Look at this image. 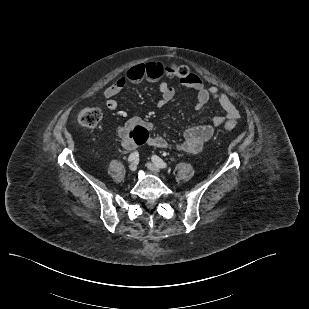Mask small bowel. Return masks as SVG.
<instances>
[{
	"label": "small bowel",
	"mask_w": 309,
	"mask_h": 309,
	"mask_svg": "<svg viewBox=\"0 0 309 309\" xmlns=\"http://www.w3.org/2000/svg\"><path fill=\"white\" fill-rule=\"evenodd\" d=\"M163 75L172 76V72L157 62L138 64L130 67L123 77L113 82L104 90L103 95L106 100V107L109 110H116L118 103L115 97L124 89L127 83H140L145 80L157 83V90L161 95V104L171 101L176 96L178 89L163 81L161 79ZM180 84L195 91L197 100L196 109L200 110L210 99H213L224 110V115L213 117L210 124L192 126L185 130L184 139L177 146V149L196 154L213 137L216 127L221 126L226 120L235 122L239 118L240 113L225 93L219 91L215 86L206 87L197 75L191 74L187 79L181 80ZM139 126L144 127L148 132L145 144L159 149H165L169 146L165 138L150 134L151 125L149 123L138 117H133L119 129V137L125 149L132 150L137 147L130 136V132L133 128Z\"/></svg>",
	"instance_id": "obj_1"
}]
</instances>
